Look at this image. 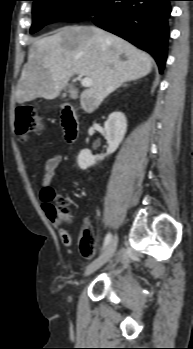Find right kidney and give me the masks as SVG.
Instances as JSON below:
<instances>
[{
	"label": "right kidney",
	"instance_id": "1",
	"mask_svg": "<svg viewBox=\"0 0 193 349\" xmlns=\"http://www.w3.org/2000/svg\"><path fill=\"white\" fill-rule=\"evenodd\" d=\"M105 139L108 142V148L106 154L102 156H93L87 149L80 151L77 157L78 166L85 170L90 166H93L97 161L103 160L105 156L114 153L122 142L126 130L127 120L122 112H113L109 115L107 121L104 124Z\"/></svg>",
	"mask_w": 193,
	"mask_h": 349
}]
</instances>
